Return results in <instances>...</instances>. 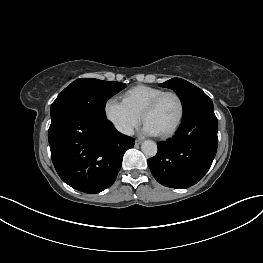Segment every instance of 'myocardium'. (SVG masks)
Wrapping results in <instances>:
<instances>
[{"label": "myocardium", "mask_w": 263, "mask_h": 263, "mask_svg": "<svg viewBox=\"0 0 263 263\" xmlns=\"http://www.w3.org/2000/svg\"><path fill=\"white\" fill-rule=\"evenodd\" d=\"M170 95L174 96L179 103V115H178V118L175 124L168 131L159 134L162 138H169L173 136L177 132V130L179 129V127L181 126L183 122L184 115H185V104H184V101L181 95L175 91H164L158 96H156L153 100H151L146 105L141 115L143 121H145L147 114L153 111L166 96H170Z\"/></svg>", "instance_id": "obj_1"}]
</instances>
